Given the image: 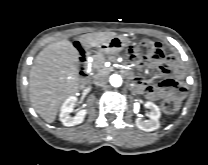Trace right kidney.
<instances>
[{"label": "right kidney", "instance_id": "obj_1", "mask_svg": "<svg viewBox=\"0 0 208 165\" xmlns=\"http://www.w3.org/2000/svg\"><path fill=\"white\" fill-rule=\"evenodd\" d=\"M76 102H77V98L75 96H70L62 104L59 117L63 125L74 126L84 121V118L87 114L86 109H81L75 116L71 115V113L74 111Z\"/></svg>", "mask_w": 208, "mask_h": 165}]
</instances>
